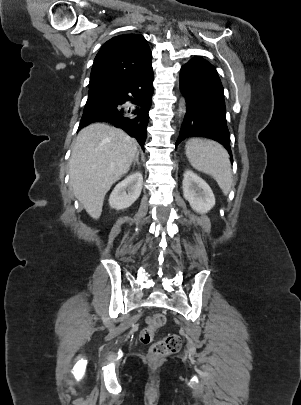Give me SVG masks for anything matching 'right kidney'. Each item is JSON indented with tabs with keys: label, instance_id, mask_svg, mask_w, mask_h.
<instances>
[{
	"label": "right kidney",
	"instance_id": "1",
	"mask_svg": "<svg viewBox=\"0 0 301 405\" xmlns=\"http://www.w3.org/2000/svg\"><path fill=\"white\" fill-rule=\"evenodd\" d=\"M143 185L141 172H134L119 182L109 197V205L116 210L130 207L140 196Z\"/></svg>",
	"mask_w": 301,
	"mask_h": 405
}]
</instances>
